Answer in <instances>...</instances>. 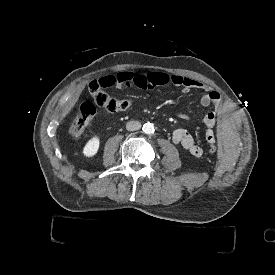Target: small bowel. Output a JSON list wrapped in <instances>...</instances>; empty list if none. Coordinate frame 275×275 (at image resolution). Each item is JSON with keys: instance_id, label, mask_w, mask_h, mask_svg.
<instances>
[{"instance_id": "obj_1", "label": "small bowel", "mask_w": 275, "mask_h": 275, "mask_svg": "<svg viewBox=\"0 0 275 275\" xmlns=\"http://www.w3.org/2000/svg\"><path fill=\"white\" fill-rule=\"evenodd\" d=\"M107 78L112 81L110 85H115L118 88L135 87L140 89H153L166 85H174L180 87L184 93L193 90L203 91L204 93L200 98L201 106L212 107L203 118L205 138L207 143L211 141L217 143L214 126L217 121L218 112L222 109V101L219 92L210 86L203 82L185 78L179 74L167 73L165 71H150L145 74L122 71L115 76H108ZM179 117L182 119L188 118L184 113H180ZM172 140L174 143L181 145L194 157L200 158L204 154L202 147L198 145L193 136L184 129L179 128L174 130Z\"/></svg>"}]
</instances>
